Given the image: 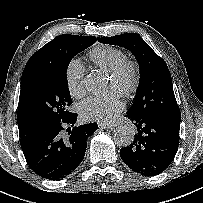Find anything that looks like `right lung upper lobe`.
<instances>
[{"instance_id":"1","label":"right lung upper lobe","mask_w":203,"mask_h":203,"mask_svg":"<svg viewBox=\"0 0 203 203\" xmlns=\"http://www.w3.org/2000/svg\"><path fill=\"white\" fill-rule=\"evenodd\" d=\"M85 37H94V36H78V35H70V34H62V35L57 36L52 41H50L46 45H44L37 52H35L31 56V58L28 60L24 69H27L31 66L41 64V63L51 60L59 50L68 46L70 43H72L78 39L85 38ZM17 122H18L20 137L40 131L33 124V122L30 120V118L27 116V114L22 110V108L20 107L19 104H18V112H17Z\"/></svg>"}]
</instances>
